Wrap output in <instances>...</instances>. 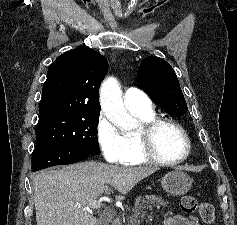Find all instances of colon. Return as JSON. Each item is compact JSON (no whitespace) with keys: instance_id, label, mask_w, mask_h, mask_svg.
Listing matches in <instances>:
<instances>
[{"instance_id":"colon-1","label":"colon","mask_w":237,"mask_h":225,"mask_svg":"<svg viewBox=\"0 0 237 225\" xmlns=\"http://www.w3.org/2000/svg\"><path fill=\"white\" fill-rule=\"evenodd\" d=\"M180 207L186 214L199 212L201 219L207 224H212L215 221V209L213 205L207 202L199 203L192 195L182 197L180 200Z\"/></svg>"}]
</instances>
